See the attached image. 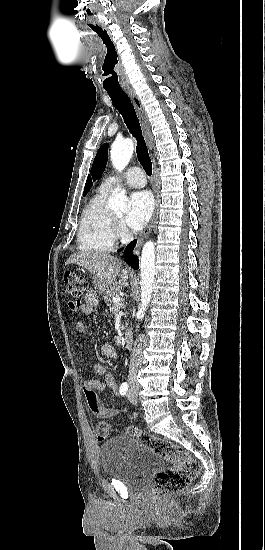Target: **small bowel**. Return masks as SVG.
Segmentation results:
<instances>
[{"label": "small bowel", "instance_id": "small-bowel-1", "mask_svg": "<svg viewBox=\"0 0 265 550\" xmlns=\"http://www.w3.org/2000/svg\"><path fill=\"white\" fill-rule=\"evenodd\" d=\"M97 306L98 297L95 292L90 291L85 295L84 303L82 304L80 311L85 314H90L97 308ZM75 330L80 334H84L86 332L85 326L82 323H76ZM100 353L102 356L110 360L117 357L115 348L109 343L101 345ZM93 370L97 375L103 376V380L91 379L84 383L83 390L87 399L88 407L97 418H110L116 414V410L113 408H107L96 396L95 392L110 389L116 393V376L113 373L106 372L105 368L100 364L94 365Z\"/></svg>", "mask_w": 265, "mask_h": 550}]
</instances>
